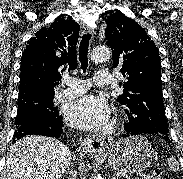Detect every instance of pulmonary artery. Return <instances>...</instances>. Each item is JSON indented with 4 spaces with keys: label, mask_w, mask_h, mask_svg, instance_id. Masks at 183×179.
Returning <instances> with one entry per match:
<instances>
[{
    "label": "pulmonary artery",
    "mask_w": 183,
    "mask_h": 179,
    "mask_svg": "<svg viewBox=\"0 0 183 179\" xmlns=\"http://www.w3.org/2000/svg\"><path fill=\"white\" fill-rule=\"evenodd\" d=\"M93 82L97 86H107L111 82V75L108 71L101 70L95 73ZM67 86L66 89L60 91L56 95V99L59 101H66L84 94L90 87L89 80L84 79H67L64 81Z\"/></svg>",
    "instance_id": "pulmonary-artery-1"
}]
</instances>
